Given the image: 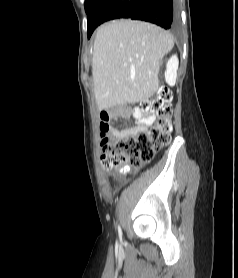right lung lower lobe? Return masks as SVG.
Wrapping results in <instances>:
<instances>
[{"label":"right lung lower lobe","instance_id":"1","mask_svg":"<svg viewBox=\"0 0 238 278\" xmlns=\"http://www.w3.org/2000/svg\"><path fill=\"white\" fill-rule=\"evenodd\" d=\"M115 18L144 20L165 29L179 22L174 0H96L87 12L88 38L98 25Z\"/></svg>","mask_w":238,"mask_h":278}]
</instances>
